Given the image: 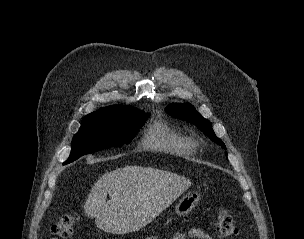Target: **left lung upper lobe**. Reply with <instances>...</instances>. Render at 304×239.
Instances as JSON below:
<instances>
[{"mask_svg":"<svg viewBox=\"0 0 304 239\" xmlns=\"http://www.w3.org/2000/svg\"><path fill=\"white\" fill-rule=\"evenodd\" d=\"M166 112L174 118H178L196 125L212 141L218 145H221L223 148H226L222 140L217 138L214 134L211 123L207 119L203 118L191 104H171L166 108Z\"/></svg>","mask_w":304,"mask_h":239,"instance_id":"obj_1","label":"left lung upper lobe"}]
</instances>
